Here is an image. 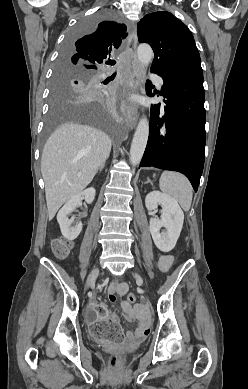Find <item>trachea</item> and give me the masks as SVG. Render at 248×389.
<instances>
[{
	"mask_svg": "<svg viewBox=\"0 0 248 389\" xmlns=\"http://www.w3.org/2000/svg\"><path fill=\"white\" fill-rule=\"evenodd\" d=\"M108 64H110V65H115V64H116V61H115V60H111V61L108 62Z\"/></svg>",
	"mask_w": 248,
	"mask_h": 389,
	"instance_id": "obj_1",
	"label": "trachea"
}]
</instances>
